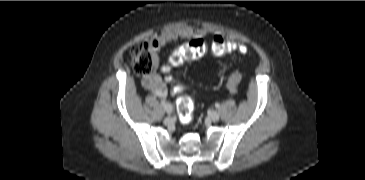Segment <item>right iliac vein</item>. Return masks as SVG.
Returning <instances> with one entry per match:
<instances>
[{
	"mask_svg": "<svg viewBox=\"0 0 365 180\" xmlns=\"http://www.w3.org/2000/svg\"><path fill=\"white\" fill-rule=\"evenodd\" d=\"M164 109L165 111L168 113V114H171L172 111H173V107L171 104L167 103L165 106H164Z\"/></svg>",
	"mask_w": 365,
	"mask_h": 180,
	"instance_id": "63e3f726",
	"label": "right iliac vein"
}]
</instances>
